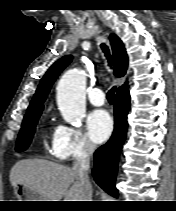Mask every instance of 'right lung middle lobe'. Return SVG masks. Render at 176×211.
I'll return each mask as SVG.
<instances>
[{"label": "right lung middle lobe", "instance_id": "1", "mask_svg": "<svg viewBox=\"0 0 176 211\" xmlns=\"http://www.w3.org/2000/svg\"><path fill=\"white\" fill-rule=\"evenodd\" d=\"M40 114L41 112L24 117L23 124L17 138L16 151H24L30 145Z\"/></svg>", "mask_w": 176, "mask_h": 211}]
</instances>
